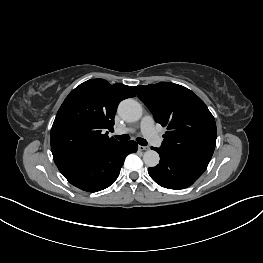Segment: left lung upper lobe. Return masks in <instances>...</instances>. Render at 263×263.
Wrapping results in <instances>:
<instances>
[{"label":"left lung upper lobe","instance_id":"obj_1","mask_svg":"<svg viewBox=\"0 0 263 263\" xmlns=\"http://www.w3.org/2000/svg\"><path fill=\"white\" fill-rule=\"evenodd\" d=\"M134 92L167 126L160 150L176 157L208 165L216 144V123L205 103L184 86L160 82L134 86Z\"/></svg>","mask_w":263,"mask_h":263}]
</instances>
